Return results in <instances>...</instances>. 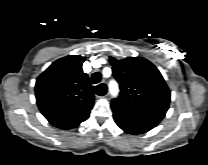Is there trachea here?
I'll list each match as a JSON object with an SVG mask.
<instances>
[{
	"label": "trachea",
	"mask_w": 208,
	"mask_h": 165,
	"mask_svg": "<svg viewBox=\"0 0 208 165\" xmlns=\"http://www.w3.org/2000/svg\"><path fill=\"white\" fill-rule=\"evenodd\" d=\"M102 75L99 72H95L91 76V82L93 84H97L101 81ZM94 93H96L99 96L105 95L106 93V87L102 84L95 86L93 88Z\"/></svg>",
	"instance_id": "1"
}]
</instances>
